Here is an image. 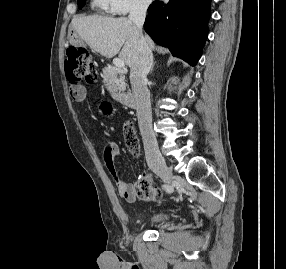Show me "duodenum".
<instances>
[{
	"label": "duodenum",
	"instance_id": "duodenum-1",
	"mask_svg": "<svg viewBox=\"0 0 286 269\" xmlns=\"http://www.w3.org/2000/svg\"><path fill=\"white\" fill-rule=\"evenodd\" d=\"M122 103L127 107L131 109L137 108L136 99L132 94H125L122 97Z\"/></svg>",
	"mask_w": 286,
	"mask_h": 269
}]
</instances>
